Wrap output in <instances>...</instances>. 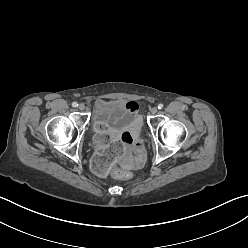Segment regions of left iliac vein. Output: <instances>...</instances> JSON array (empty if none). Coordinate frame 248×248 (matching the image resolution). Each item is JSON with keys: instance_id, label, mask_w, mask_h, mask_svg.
Instances as JSON below:
<instances>
[{"instance_id": "obj_1", "label": "left iliac vein", "mask_w": 248, "mask_h": 248, "mask_svg": "<svg viewBox=\"0 0 248 248\" xmlns=\"http://www.w3.org/2000/svg\"><path fill=\"white\" fill-rule=\"evenodd\" d=\"M157 111H158L157 107H153V108L151 109V113H152V114H156Z\"/></svg>"}]
</instances>
